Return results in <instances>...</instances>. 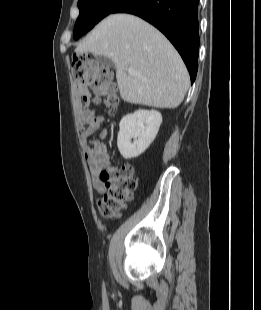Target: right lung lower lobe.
Returning a JSON list of instances; mask_svg holds the SVG:
<instances>
[{"mask_svg":"<svg viewBox=\"0 0 261 310\" xmlns=\"http://www.w3.org/2000/svg\"><path fill=\"white\" fill-rule=\"evenodd\" d=\"M198 3L199 0H125L112 13L134 14L158 28L180 53L192 84L198 69Z\"/></svg>","mask_w":261,"mask_h":310,"instance_id":"obj_1","label":"right lung lower lobe"}]
</instances>
